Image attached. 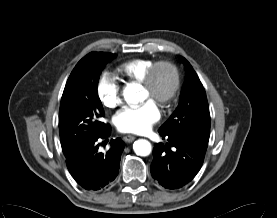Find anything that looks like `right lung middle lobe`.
Listing matches in <instances>:
<instances>
[{
  "mask_svg": "<svg viewBox=\"0 0 277 218\" xmlns=\"http://www.w3.org/2000/svg\"><path fill=\"white\" fill-rule=\"evenodd\" d=\"M114 57L88 54L78 62L67 80L59 111L60 140L65 156L110 127L99 120L104 110L97 85L101 71Z\"/></svg>",
  "mask_w": 277,
  "mask_h": 218,
  "instance_id": "right-lung-middle-lobe-1",
  "label": "right lung middle lobe"
}]
</instances>
